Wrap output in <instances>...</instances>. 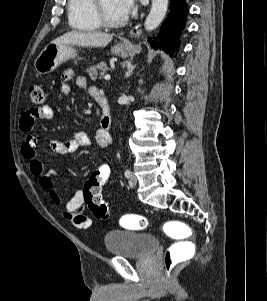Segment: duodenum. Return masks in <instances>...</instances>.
Here are the masks:
<instances>
[{"label": "duodenum", "mask_w": 267, "mask_h": 301, "mask_svg": "<svg viewBox=\"0 0 267 301\" xmlns=\"http://www.w3.org/2000/svg\"><path fill=\"white\" fill-rule=\"evenodd\" d=\"M93 98L99 104V106L101 108V122H100L101 127L105 131L109 132L110 127H111L112 118H111L108 99L104 94H102L100 92L95 93Z\"/></svg>", "instance_id": "obj_1"}]
</instances>
